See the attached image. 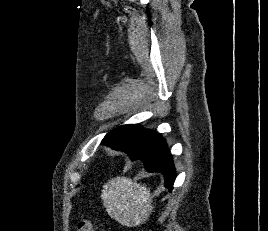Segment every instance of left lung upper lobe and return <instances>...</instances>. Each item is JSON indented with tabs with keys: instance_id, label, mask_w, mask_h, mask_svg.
Segmentation results:
<instances>
[{
	"instance_id": "5c2ea615",
	"label": "left lung upper lobe",
	"mask_w": 268,
	"mask_h": 231,
	"mask_svg": "<svg viewBox=\"0 0 268 231\" xmlns=\"http://www.w3.org/2000/svg\"><path fill=\"white\" fill-rule=\"evenodd\" d=\"M156 132L146 130L139 125H124L109 132L104 142L113 149L123 151L126 148L140 147L150 141Z\"/></svg>"
}]
</instances>
